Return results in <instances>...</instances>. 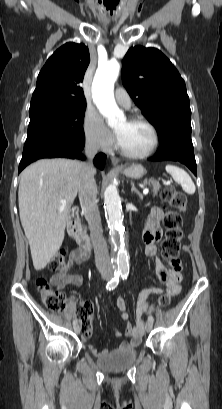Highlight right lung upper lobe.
<instances>
[{
	"mask_svg": "<svg viewBox=\"0 0 222 409\" xmlns=\"http://www.w3.org/2000/svg\"><path fill=\"white\" fill-rule=\"evenodd\" d=\"M90 55L84 44L66 43L41 69L30 109L49 104L86 103L80 87Z\"/></svg>",
	"mask_w": 222,
	"mask_h": 409,
	"instance_id": "right-lung-upper-lobe-1",
	"label": "right lung upper lobe"
}]
</instances>
